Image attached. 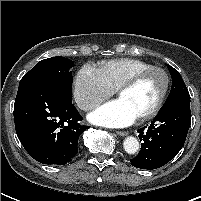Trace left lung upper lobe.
Returning <instances> with one entry per match:
<instances>
[{
  "label": "left lung upper lobe",
  "mask_w": 201,
  "mask_h": 201,
  "mask_svg": "<svg viewBox=\"0 0 201 201\" xmlns=\"http://www.w3.org/2000/svg\"><path fill=\"white\" fill-rule=\"evenodd\" d=\"M167 68L169 69L172 77V87L166 101L176 99L179 97H190L188 89L180 73L170 65H167Z\"/></svg>",
  "instance_id": "left-lung-upper-lobe-1"
}]
</instances>
